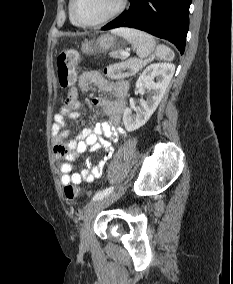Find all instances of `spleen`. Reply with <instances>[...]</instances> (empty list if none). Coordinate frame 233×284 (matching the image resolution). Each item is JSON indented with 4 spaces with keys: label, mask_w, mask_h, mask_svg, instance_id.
I'll return each instance as SVG.
<instances>
[{
    "label": "spleen",
    "mask_w": 233,
    "mask_h": 284,
    "mask_svg": "<svg viewBox=\"0 0 233 284\" xmlns=\"http://www.w3.org/2000/svg\"><path fill=\"white\" fill-rule=\"evenodd\" d=\"M114 32L131 43L136 49L138 57L141 59L147 58L153 52L161 59L171 58L174 56L173 51L169 47L165 45L156 46L154 37L148 33L130 28H120Z\"/></svg>",
    "instance_id": "spleen-1"
}]
</instances>
